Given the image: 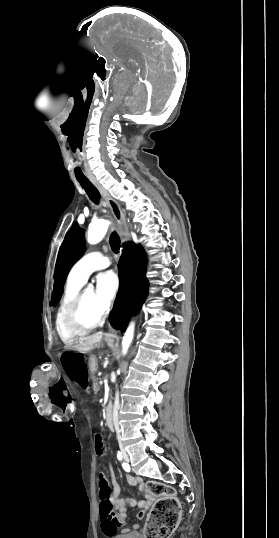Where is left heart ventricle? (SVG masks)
I'll use <instances>...</instances> for the list:
<instances>
[{
    "label": "left heart ventricle",
    "mask_w": 279,
    "mask_h": 538,
    "mask_svg": "<svg viewBox=\"0 0 279 538\" xmlns=\"http://www.w3.org/2000/svg\"><path fill=\"white\" fill-rule=\"evenodd\" d=\"M85 298V306L82 311V318L84 320L92 321L93 319L99 317L104 313L97 300V294L95 290L88 289Z\"/></svg>",
    "instance_id": "obj_1"
}]
</instances>
